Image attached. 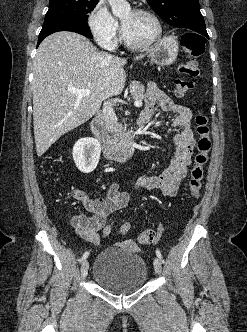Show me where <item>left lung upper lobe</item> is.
Here are the masks:
<instances>
[{
    "instance_id": "5c2ea615",
    "label": "left lung upper lobe",
    "mask_w": 247,
    "mask_h": 332,
    "mask_svg": "<svg viewBox=\"0 0 247 332\" xmlns=\"http://www.w3.org/2000/svg\"><path fill=\"white\" fill-rule=\"evenodd\" d=\"M152 9L168 24L197 33L206 29L198 0H147Z\"/></svg>"
}]
</instances>
